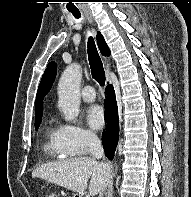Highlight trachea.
<instances>
[{"label": "trachea", "mask_w": 191, "mask_h": 197, "mask_svg": "<svg viewBox=\"0 0 191 197\" xmlns=\"http://www.w3.org/2000/svg\"><path fill=\"white\" fill-rule=\"evenodd\" d=\"M72 14L76 17H80L79 12H72ZM88 60L91 68L92 77L100 84V86H104L105 84V71L103 68V63L97 51L95 42L92 37L88 39Z\"/></svg>", "instance_id": "1"}]
</instances>
